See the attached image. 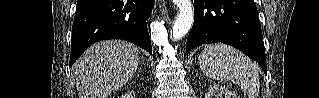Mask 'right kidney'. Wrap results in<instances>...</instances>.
I'll return each mask as SVG.
<instances>
[{
	"instance_id": "ca27d5eb",
	"label": "right kidney",
	"mask_w": 319,
	"mask_h": 98,
	"mask_svg": "<svg viewBox=\"0 0 319 98\" xmlns=\"http://www.w3.org/2000/svg\"><path fill=\"white\" fill-rule=\"evenodd\" d=\"M130 95L129 94H126V96H122V98H124V97H129Z\"/></svg>"
}]
</instances>
